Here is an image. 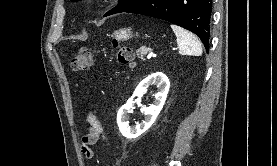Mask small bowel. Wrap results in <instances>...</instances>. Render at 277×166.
Returning a JSON list of instances; mask_svg holds the SVG:
<instances>
[{"mask_svg": "<svg viewBox=\"0 0 277 166\" xmlns=\"http://www.w3.org/2000/svg\"><path fill=\"white\" fill-rule=\"evenodd\" d=\"M89 124L88 132L82 138L81 151L87 159H92L94 152L91 148L92 145L96 144L99 140H104V130L100 122L93 115L87 117Z\"/></svg>", "mask_w": 277, "mask_h": 166, "instance_id": "1", "label": "small bowel"}]
</instances>
